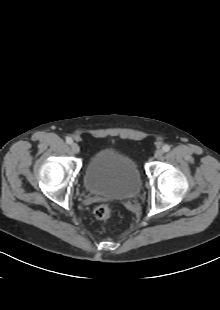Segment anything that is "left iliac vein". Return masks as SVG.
Here are the masks:
<instances>
[{"label": "left iliac vein", "instance_id": "obj_1", "mask_svg": "<svg viewBox=\"0 0 220 310\" xmlns=\"http://www.w3.org/2000/svg\"><path fill=\"white\" fill-rule=\"evenodd\" d=\"M162 156H163V150L158 149V150L155 151L154 157L156 159H160Z\"/></svg>", "mask_w": 220, "mask_h": 310}]
</instances>
